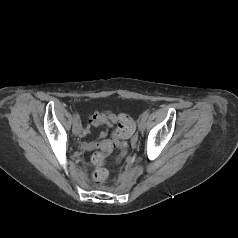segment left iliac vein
<instances>
[{"instance_id":"1","label":"left iliac vein","mask_w":238,"mask_h":238,"mask_svg":"<svg viewBox=\"0 0 238 238\" xmlns=\"http://www.w3.org/2000/svg\"><path fill=\"white\" fill-rule=\"evenodd\" d=\"M138 128L141 132H143L145 130V119H142V118L140 119Z\"/></svg>"}]
</instances>
